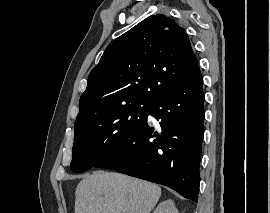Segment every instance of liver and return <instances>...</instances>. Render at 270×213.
<instances>
[{"label": "liver", "instance_id": "obj_1", "mask_svg": "<svg viewBox=\"0 0 270 213\" xmlns=\"http://www.w3.org/2000/svg\"><path fill=\"white\" fill-rule=\"evenodd\" d=\"M160 196L161 188L155 184L98 171L77 185L75 213H150Z\"/></svg>", "mask_w": 270, "mask_h": 213}]
</instances>
